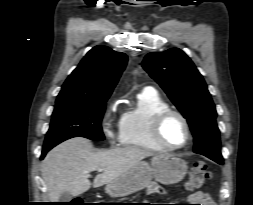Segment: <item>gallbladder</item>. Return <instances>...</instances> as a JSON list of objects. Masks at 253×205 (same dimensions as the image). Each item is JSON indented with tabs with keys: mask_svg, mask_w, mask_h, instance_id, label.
Masks as SVG:
<instances>
[{
	"mask_svg": "<svg viewBox=\"0 0 253 205\" xmlns=\"http://www.w3.org/2000/svg\"><path fill=\"white\" fill-rule=\"evenodd\" d=\"M72 199V195L69 192H63L60 195L59 202H70Z\"/></svg>",
	"mask_w": 253,
	"mask_h": 205,
	"instance_id": "gallbladder-1",
	"label": "gallbladder"
}]
</instances>
